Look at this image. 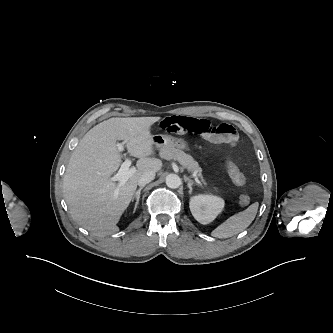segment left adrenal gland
Masks as SVG:
<instances>
[{
	"label": "left adrenal gland",
	"instance_id": "a2214340",
	"mask_svg": "<svg viewBox=\"0 0 333 333\" xmlns=\"http://www.w3.org/2000/svg\"><path fill=\"white\" fill-rule=\"evenodd\" d=\"M185 181L187 182V186L189 188V194H192V185L195 184L197 185V183L193 182L191 179H189L188 177H185Z\"/></svg>",
	"mask_w": 333,
	"mask_h": 333
}]
</instances>
